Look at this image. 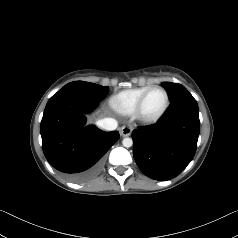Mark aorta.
<instances>
[{"mask_svg":"<svg viewBox=\"0 0 238 238\" xmlns=\"http://www.w3.org/2000/svg\"><path fill=\"white\" fill-rule=\"evenodd\" d=\"M122 144L124 147H131L133 145V140L131 138H124Z\"/></svg>","mask_w":238,"mask_h":238,"instance_id":"762f6f07","label":"aorta"}]
</instances>
